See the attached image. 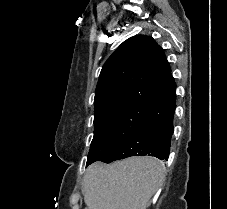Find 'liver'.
<instances>
[{
    "label": "liver",
    "instance_id": "6515ba94",
    "mask_svg": "<svg viewBox=\"0 0 227 209\" xmlns=\"http://www.w3.org/2000/svg\"><path fill=\"white\" fill-rule=\"evenodd\" d=\"M164 165L154 157H129L112 165L87 167L84 201L88 209H146L162 185Z\"/></svg>",
    "mask_w": 227,
    "mask_h": 209
}]
</instances>
